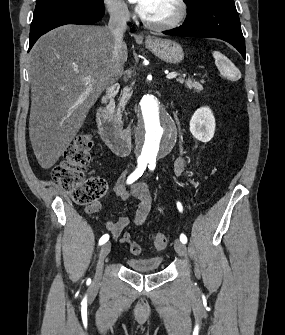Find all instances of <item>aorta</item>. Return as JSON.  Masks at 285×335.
I'll return each mask as SVG.
<instances>
[{"instance_id":"1","label":"aorta","mask_w":285,"mask_h":335,"mask_svg":"<svg viewBox=\"0 0 285 335\" xmlns=\"http://www.w3.org/2000/svg\"><path fill=\"white\" fill-rule=\"evenodd\" d=\"M138 112H141L140 125L134 127V134L141 160H163L173 152L180 137L177 119H170L163 95H153L152 90L142 91Z\"/></svg>"}]
</instances>
